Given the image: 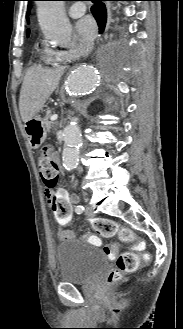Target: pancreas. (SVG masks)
I'll return each mask as SVG.
<instances>
[{
	"label": "pancreas",
	"mask_w": 183,
	"mask_h": 329,
	"mask_svg": "<svg viewBox=\"0 0 183 329\" xmlns=\"http://www.w3.org/2000/svg\"><path fill=\"white\" fill-rule=\"evenodd\" d=\"M49 118H51V113H48L43 120L47 130H49L52 125V122L49 121Z\"/></svg>",
	"instance_id": "1"
}]
</instances>
